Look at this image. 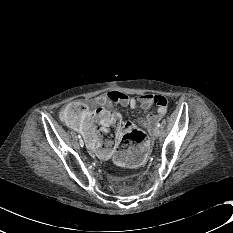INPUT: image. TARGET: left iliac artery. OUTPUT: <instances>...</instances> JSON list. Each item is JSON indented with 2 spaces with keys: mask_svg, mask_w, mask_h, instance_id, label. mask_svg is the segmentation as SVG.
<instances>
[{
  "mask_svg": "<svg viewBox=\"0 0 233 233\" xmlns=\"http://www.w3.org/2000/svg\"><path fill=\"white\" fill-rule=\"evenodd\" d=\"M161 126V123H157V127H160Z\"/></svg>",
  "mask_w": 233,
  "mask_h": 233,
  "instance_id": "1",
  "label": "left iliac artery"
}]
</instances>
